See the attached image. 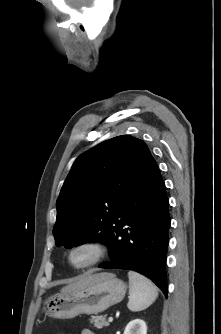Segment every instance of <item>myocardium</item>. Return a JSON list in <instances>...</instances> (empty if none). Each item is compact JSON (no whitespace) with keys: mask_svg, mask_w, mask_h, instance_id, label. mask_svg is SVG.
I'll return each mask as SVG.
<instances>
[{"mask_svg":"<svg viewBox=\"0 0 221 334\" xmlns=\"http://www.w3.org/2000/svg\"><path fill=\"white\" fill-rule=\"evenodd\" d=\"M79 252L88 254V258L82 262H75L74 255ZM106 254L105 245L97 239H84L73 244L66 256L69 267L76 270L86 269L99 263Z\"/></svg>","mask_w":221,"mask_h":334,"instance_id":"f54148a6","label":"myocardium"}]
</instances>
